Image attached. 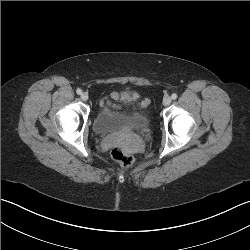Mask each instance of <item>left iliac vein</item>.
<instances>
[{"label":"left iliac vein","mask_w":250,"mask_h":250,"mask_svg":"<svg viewBox=\"0 0 250 250\" xmlns=\"http://www.w3.org/2000/svg\"><path fill=\"white\" fill-rule=\"evenodd\" d=\"M171 101H172V99H171L170 96H165V97L163 98V104H164L165 106H168V105L171 103Z\"/></svg>","instance_id":"1"}]
</instances>
